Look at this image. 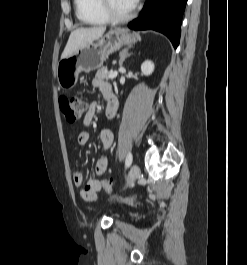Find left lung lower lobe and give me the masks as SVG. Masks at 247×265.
<instances>
[{"label": "left lung lower lobe", "mask_w": 247, "mask_h": 265, "mask_svg": "<svg viewBox=\"0 0 247 265\" xmlns=\"http://www.w3.org/2000/svg\"><path fill=\"white\" fill-rule=\"evenodd\" d=\"M187 0H146L140 16L130 22L133 30L152 29L166 35L177 48Z\"/></svg>", "instance_id": "1"}]
</instances>
